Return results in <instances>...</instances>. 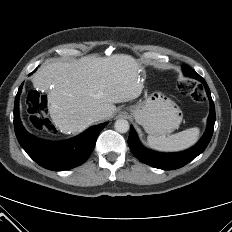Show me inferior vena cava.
<instances>
[{
    "instance_id": "inferior-vena-cava-1",
    "label": "inferior vena cava",
    "mask_w": 232,
    "mask_h": 232,
    "mask_svg": "<svg viewBox=\"0 0 232 232\" xmlns=\"http://www.w3.org/2000/svg\"><path fill=\"white\" fill-rule=\"evenodd\" d=\"M103 118V115L101 113H94L91 116L92 121H98Z\"/></svg>"
}]
</instances>
